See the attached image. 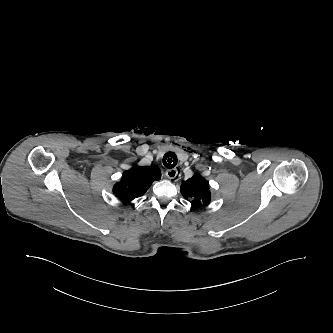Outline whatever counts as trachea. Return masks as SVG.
Returning a JSON list of instances; mask_svg holds the SVG:
<instances>
[{
    "instance_id": "1",
    "label": "trachea",
    "mask_w": 333,
    "mask_h": 333,
    "mask_svg": "<svg viewBox=\"0 0 333 333\" xmlns=\"http://www.w3.org/2000/svg\"><path fill=\"white\" fill-rule=\"evenodd\" d=\"M163 164L166 168H174L177 165V156L173 152H167L163 157Z\"/></svg>"
}]
</instances>
